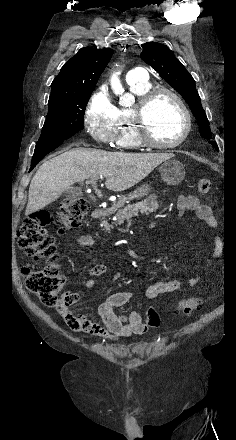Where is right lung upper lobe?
I'll return each mask as SVG.
<instances>
[{
	"mask_svg": "<svg viewBox=\"0 0 236 440\" xmlns=\"http://www.w3.org/2000/svg\"><path fill=\"white\" fill-rule=\"evenodd\" d=\"M113 54L110 48L84 47L67 61L51 84L48 103L92 93Z\"/></svg>",
	"mask_w": 236,
	"mask_h": 440,
	"instance_id": "1",
	"label": "right lung upper lobe"
}]
</instances>
